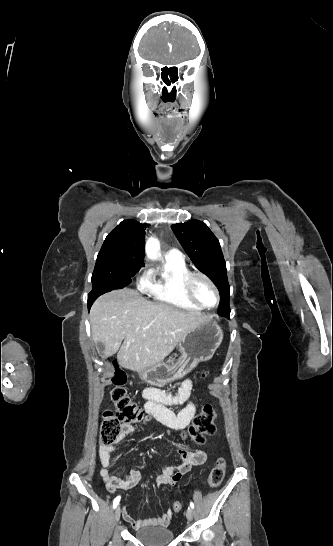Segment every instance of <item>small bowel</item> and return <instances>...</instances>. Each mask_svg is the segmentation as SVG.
Masks as SVG:
<instances>
[{
  "instance_id": "small-bowel-1",
  "label": "small bowel",
  "mask_w": 333,
  "mask_h": 546,
  "mask_svg": "<svg viewBox=\"0 0 333 546\" xmlns=\"http://www.w3.org/2000/svg\"><path fill=\"white\" fill-rule=\"evenodd\" d=\"M192 390L193 383L190 378H186L174 393L147 387L142 391L145 412L169 428L183 429L189 425L196 412V407L191 400ZM181 404H186V406L177 413L169 408ZM134 430L133 424H123L117 442L125 441ZM114 450L113 445H100L98 449L99 474L110 492L115 493L119 489L130 490L139 484L141 473L137 469H132L126 476L112 474L110 469ZM178 452L180 464L176 467L164 468L157 478L158 485L173 486L192 467L202 465L206 461V453L203 450L179 449ZM172 515V510L167 509L155 517L134 519L126 510H123V519L136 530L149 526H166Z\"/></svg>"
}]
</instances>
